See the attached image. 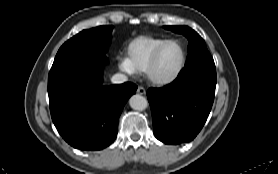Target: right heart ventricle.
I'll return each mask as SVG.
<instances>
[{"mask_svg": "<svg viewBox=\"0 0 278 174\" xmlns=\"http://www.w3.org/2000/svg\"><path fill=\"white\" fill-rule=\"evenodd\" d=\"M164 38L141 36L128 46V58L136 72L146 71L154 50L165 41Z\"/></svg>", "mask_w": 278, "mask_h": 174, "instance_id": "right-heart-ventricle-1", "label": "right heart ventricle"}]
</instances>
